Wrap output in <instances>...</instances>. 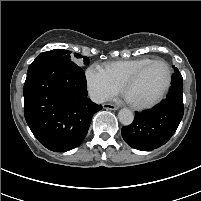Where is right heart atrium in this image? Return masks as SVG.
<instances>
[{
    "instance_id": "obj_1",
    "label": "right heart atrium",
    "mask_w": 201,
    "mask_h": 201,
    "mask_svg": "<svg viewBox=\"0 0 201 201\" xmlns=\"http://www.w3.org/2000/svg\"><path fill=\"white\" fill-rule=\"evenodd\" d=\"M85 79L91 98L98 103L113 98L120 91V87L100 65L89 66L85 71Z\"/></svg>"
}]
</instances>
